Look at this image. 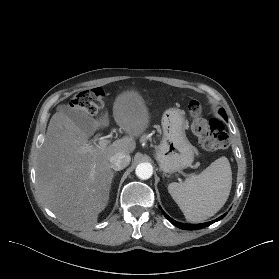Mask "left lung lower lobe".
<instances>
[{
  "label": "left lung lower lobe",
  "instance_id": "obj_1",
  "mask_svg": "<svg viewBox=\"0 0 279 279\" xmlns=\"http://www.w3.org/2000/svg\"><path fill=\"white\" fill-rule=\"evenodd\" d=\"M162 213L164 214V216L175 226H177L178 228L181 229H185V230H197V229H201L204 227H207L209 225H211L212 223H214L215 221H218L220 219H222L226 214L222 215L220 218L216 219L215 221H210L207 223H202V224H183V223H179L175 220H173L172 218H170L167 214H165L164 211H162Z\"/></svg>",
  "mask_w": 279,
  "mask_h": 279
}]
</instances>
